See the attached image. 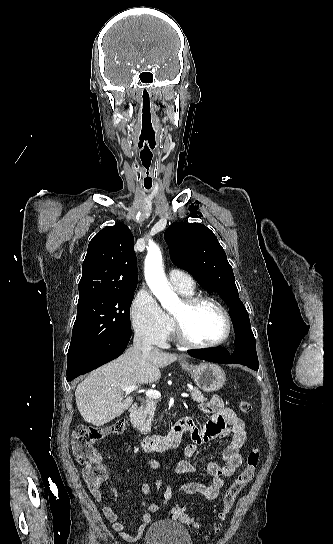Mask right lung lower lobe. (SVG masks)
I'll use <instances>...</instances> for the list:
<instances>
[{
	"mask_svg": "<svg viewBox=\"0 0 333 544\" xmlns=\"http://www.w3.org/2000/svg\"><path fill=\"white\" fill-rule=\"evenodd\" d=\"M130 337L131 330L121 331L106 337L86 351L69 358L67 381L71 382L79 375L90 372L120 356L126 349Z\"/></svg>",
	"mask_w": 333,
	"mask_h": 544,
	"instance_id": "98d812e1",
	"label": "right lung lower lobe"
}]
</instances>
